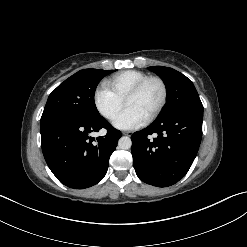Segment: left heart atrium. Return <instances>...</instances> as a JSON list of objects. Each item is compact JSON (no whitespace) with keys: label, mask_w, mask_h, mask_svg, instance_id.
Instances as JSON below:
<instances>
[{"label":"left heart atrium","mask_w":247,"mask_h":247,"mask_svg":"<svg viewBox=\"0 0 247 247\" xmlns=\"http://www.w3.org/2000/svg\"><path fill=\"white\" fill-rule=\"evenodd\" d=\"M147 117L138 109L132 106H126L124 110L116 117L114 126L119 129L131 130L144 125Z\"/></svg>","instance_id":"1"}]
</instances>
